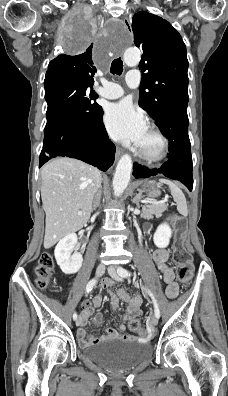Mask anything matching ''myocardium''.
Here are the masks:
<instances>
[{"mask_svg": "<svg viewBox=\"0 0 228 396\" xmlns=\"http://www.w3.org/2000/svg\"><path fill=\"white\" fill-rule=\"evenodd\" d=\"M148 130L159 139L160 142L159 149L154 153H148L138 147L137 154L141 159L147 162L150 163L160 162L167 156L168 147H169L168 139L164 135V133L154 125H150L148 127Z\"/></svg>", "mask_w": 228, "mask_h": 396, "instance_id": "obj_1", "label": "myocardium"}]
</instances>
